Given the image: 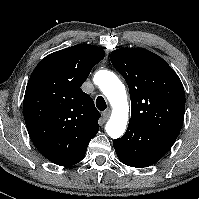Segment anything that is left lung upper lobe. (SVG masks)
<instances>
[{"instance_id": "left-lung-upper-lobe-1", "label": "left lung upper lobe", "mask_w": 199, "mask_h": 199, "mask_svg": "<svg viewBox=\"0 0 199 199\" xmlns=\"http://www.w3.org/2000/svg\"><path fill=\"white\" fill-rule=\"evenodd\" d=\"M110 60L129 87L130 122L175 141L183 125L185 92L174 70L155 53L138 48L117 49Z\"/></svg>"}]
</instances>
